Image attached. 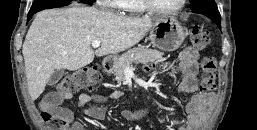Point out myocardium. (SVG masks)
I'll return each instance as SVG.
<instances>
[{
	"mask_svg": "<svg viewBox=\"0 0 257 130\" xmlns=\"http://www.w3.org/2000/svg\"><path fill=\"white\" fill-rule=\"evenodd\" d=\"M143 7L146 9V11L159 14V15H175L179 13L186 5L187 0H181L180 4L174 8V9H161L157 7L154 3L153 0H140Z\"/></svg>",
	"mask_w": 257,
	"mask_h": 130,
	"instance_id": "myocardium-1",
	"label": "myocardium"
}]
</instances>
